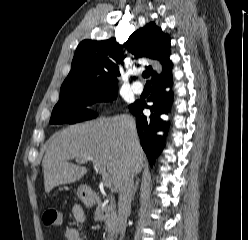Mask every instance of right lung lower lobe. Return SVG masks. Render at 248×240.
Segmentation results:
<instances>
[{"instance_id":"1","label":"right lung lower lobe","mask_w":248,"mask_h":240,"mask_svg":"<svg viewBox=\"0 0 248 240\" xmlns=\"http://www.w3.org/2000/svg\"><path fill=\"white\" fill-rule=\"evenodd\" d=\"M172 85V74L167 77L159 78L153 82V89L150 101L152 106H147L144 101L137 100L129 106L130 112L136 117L137 131L140 137V143L145 151L149 163L152 165L156 157L162 151L165 138L157 135L158 131H164L168 128V123L160 118L161 114L169 111V106L173 98L171 91H166L167 87ZM148 108L151 111L150 116L143 115V109Z\"/></svg>"}]
</instances>
